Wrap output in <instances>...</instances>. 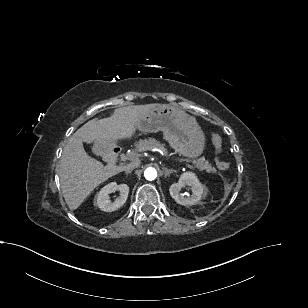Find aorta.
<instances>
[{
	"instance_id": "762f6f07",
	"label": "aorta",
	"mask_w": 308,
	"mask_h": 308,
	"mask_svg": "<svg viewBox=\"0 0 308 308\" xmlns=\"http://www.w3.org/2000/svg\"><path fill=\"white\" fill-rule=\"evenodd\" d=\"M144 177L149 180H155L157 177V171L155 168L149 167L144 171Z\"/></svg>"
}]
</instances>
